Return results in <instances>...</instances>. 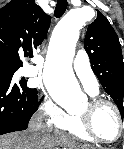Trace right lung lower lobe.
Instances as JSON below:
<instances>
[{"label": "right lung lower lobe", "mask_w": 124, "mask_h": 149, "mask_svg": "<svg viewBox=\"0 0 124 149\" xmlns=\"http://www.w3.org/2000/svg\"><path fill=\"white\" fill-rule=\"evenodd\" d=\"M0 75V135L27 129L38 109L37 90Z\"/></svg>", "instance_id": "1"}]
</instances>
